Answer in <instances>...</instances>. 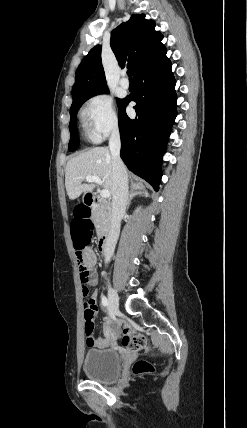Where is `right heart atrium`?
<instances>
[{
	"mask_svg": "<svg viewBox=\"0 0 247 428\" xmlns=\"http://www.w3.org/2000/svg\"><path fill=\"white\" fill-rule=\"evenodd\" d=\"M87 130L91 139L101 141L118 129V116L113 98L100 93L88 100L84 108Z\"/></svg>",
	"mask_w": 247,
	"mask_h": 428,
	"instance_id": "right-heart-atrium-1",
	"label": "right heart atrium"
}]
</instances>
